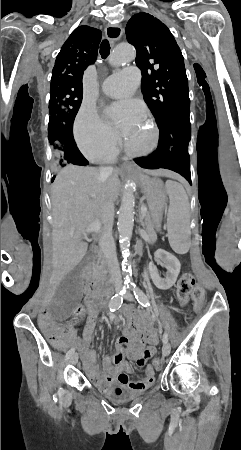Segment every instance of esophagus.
<instances>
[{
	"mask_svg": "<svg viewBox=\"0 0 241 450\" xmlns=\"http://www.w3.org/2000/svg\"><path fill=\"white\" fill-rule=\"evenodd\" d=\"M106 38L113 44L119 40L122 36V28L119 25L110 24L105 28ZM134 164L132 162H127L122 165L123 169H132Z\"/></svg>",
	"mask_w": 241,
	"mask_h": 450,
	"instance_id": "1",
	"label": "esophagus"
}]
</instances>
